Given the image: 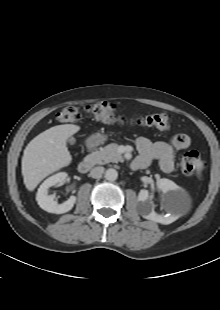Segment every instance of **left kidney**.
<instances>
[{"label": "left kidney", "instance_id": "obj_1", "mask_svg": "<svg viewBox=\"0 0 220 310\" xmlns=\"http://www.w3.org/2000/svg\"><path fill=\"white\" fill-rule=\"evenodd\" d=\"M157 186L164 194H166L165 202H168L175 193L182 194L181 188L173 181L166 178L158 180ZM138 200L140 201V212L144 218L165 225L173 222L174 217L172 215L163 216L154 211V203L149 198L148 190H140Z\"/></svg>", "mask_w": 220, "mask_h": 310}]
</instances>
